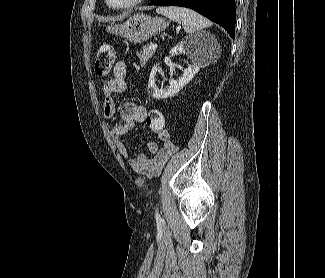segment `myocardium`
Masks as SVG:
<instances>
[{
    "mask_svg": "<svg viewBox=\"0 0 325 278\" xmlns=\"http://www.w3.org/2000/svg\"><path fill=\"white\" fill-rule=\"evenodd\" d=\"M105 1H106L107 5L114 10H125V9H130V8L135 7L145 0H131L128 3H125L123 5H118V6L113 5L110 2V0H105Z\"/></svg>",
    "mask_w": 325,
    "mask_h": 278,
    "instance_id": "obj_1",
    "label": "myocardium"
}]
</instances>
